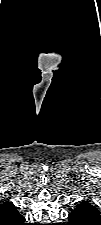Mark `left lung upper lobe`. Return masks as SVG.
Instances as JSON below:
<instances>
[{
  "label": "left lung upper lobe",
  "instance_id": "5c2ea615",
  "mask_svg": "<svg viewBox=\"0 0 101 225\" xmlns=\"http://www.w3.org/2000/svg\"><path fill=\"white\" fill-rule=\"evenodd\" d=\"M77 206H82V207L90 208L97 211V209L94 206H92L90 203L86 201L80 202Z\"/></svg>",
  "mask_w": 101,
  "mask_h": 225
}]
</instances>
